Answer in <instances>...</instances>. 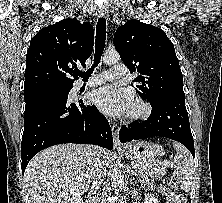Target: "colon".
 Wrapping results in <instances>:
<instances>
[{"mask_svg": "<svg viewBox=\"0 0 222 203\" xmlns=\"http://www.w3.org/2000/svg\"><path fill=\"white\" fill-rule=\"evenodd\" d=\"M169 186L175 191L177 190V184L173 179L169 180Z\"/></svg>", "mask_w": 222, "mask_h": 203, "instance_id": "obj_1", "label": "colon"}]
</instances>
